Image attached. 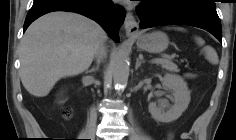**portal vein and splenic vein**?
<instances>
[{
	"label": "portal vein and splenic vein",
	"mask_w": 236,
	"mask_h": 140,
	"mask_svg": "<svg viewBox=\"0 0 236 140\" xmlns=\"http://www.w3.org/2000/svg\"><path fill=\"white\" fill-rule=\"evenodd\" d=\"M171 59H172V56H165V57H162V58L152 59L151 62L152 63H159V62H163V61H170Z\"/></svg>",
	"instance_id": "18ae733b"
}]
</instances>
